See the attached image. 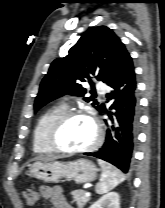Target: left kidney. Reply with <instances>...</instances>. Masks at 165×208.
I'll return each mask as SVG.
<instances>
[{
    "mask_svg": "<svg viewBox=\"0 0 165 208\" xmlns=\"http://www.w3.org/2000/svg\"><path fill=\"white\" fill-rule=\"evenodd\" d=\"M89 208H120L119 195L116 192L107 193Z\"/></svg>",
    "mask_w": 165,
    "mask_h": 208,
    "instance_id": "left-kidney-1",
    "label": "left kidney"
}]
</instances>
